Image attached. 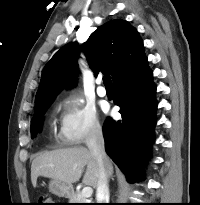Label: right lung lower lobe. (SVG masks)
<instances>
[{"instance_id":"right-lung-lower-lobe-1","label":"right lung lower lobe","mask_w":200,"mask_h":205,"mask_svg":"<svg viewBox=\"0 0 200 205\" xmlns=\"http://www.w3.org/2000/svg\"><path fill=\"white\" fill-rule=\"evenodd\" d=\"M147 59L114 83V103L122 120L108 117L103 126L105 150L128 182L141 180V165L154 140L156 87Z\"/></svg>"}]
</instances>
